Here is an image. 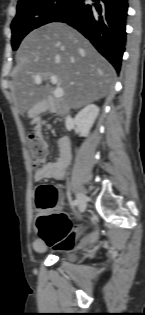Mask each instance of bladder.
Segmentation results:
<instances>
[{
	"mask_svg": "<svg viewBox=\"0 0 145 315\" xmlns=\"http://www.w3.org/2000/svg\"><path fill=\"white\" fill-rule=\"evenodd\" d=\"M65 262H75L76 261V255L75 252L72 250H65V252L60 257Z\"/></svg>",
	"mask_w": 145,
	"mask_h": 315,
	"instance_id": "31cf9c89",
	"label": "bladder"
}]
</instances>
